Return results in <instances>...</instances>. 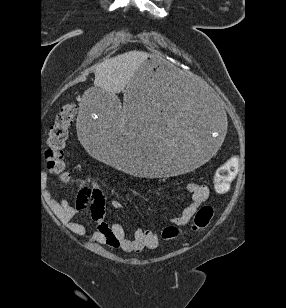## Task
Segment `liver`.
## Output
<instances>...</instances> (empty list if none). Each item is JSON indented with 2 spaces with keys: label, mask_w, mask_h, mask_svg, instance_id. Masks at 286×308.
Listing matches in <instances>:
<instances>
[{
  "label": "liver",
  "mask_w": 286,
  "mask_h": 308,
  "mask_svg": "<svg viewBox=\"0 0 286 308\" xmlns=\"http://www.w3.org/2000/svg\"><path fill=\"white\" fill-rule=\"evenodd\" d=\"M148 56L143 51H129L106 59L95 68V87L113 95L124 91L137 68ZM121 120L124 124V118Z\"/></svg>",
  "instance_id": "6515ba94"
}]
</instances>
